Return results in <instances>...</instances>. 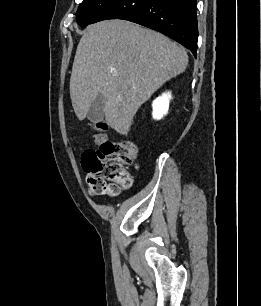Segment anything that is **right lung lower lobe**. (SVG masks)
I'll return each mask as SVG.
<instances>
[{
	"label": "right lung lower lobe",
	"instance_id": "obj_1",
	"mask_svg": "<svg viewBox=\"0 0 261 306\" xmlns=\"http://www.w3.org/2000/svg\"><path fill=\"white\" fill-rule=\"evenodd\" d=\"M107 19L128 20L161 32L196 57V0H115L90 24Z\"/></svg>",
	"mask_w": 261,
	"mask_h": 306
}]
</instances>
